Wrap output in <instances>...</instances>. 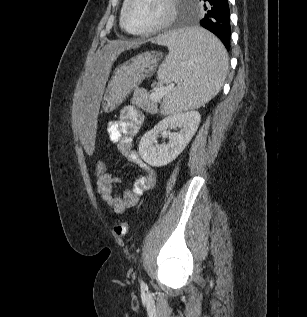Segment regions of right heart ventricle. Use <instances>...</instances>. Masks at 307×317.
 Masks as SVG:
<instances>
[{
  "label": "right heart ventricle",
  "instance_id": "right-heart-ventricle-1",
  "mask_svg": "<svg viewBox=\"0 0 307 317\" xmlns=\"http://www.w3.org/2000/svg\"><path fill=\"white\" fill-rule=\"evenodd\" d=\"M126 1H127V0H124L123 7H124V5L126 4Z\"/></svg>",
  "mask_w": 307,
  "mask_h": 317
}]
</instances>
